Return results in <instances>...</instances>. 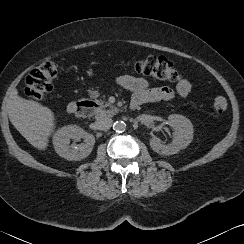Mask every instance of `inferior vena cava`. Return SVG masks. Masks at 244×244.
<instances>
[{"label": "inferior vena cava", "mask_w": 244, "mask_h": 244, "mask_svg": "<svg viewBox=\"0 0 244 244\" xmlns=\"http://www.w3.org/2000/svg\"><path fill=\"white\" fill-rule=\"evenodd\" d=\"M113 121L111 118H101L97 120L96 125L99 130L106 131L112 127Z\"/></svg>", "instance_id": "inferior-vena-cava-1"}]
</instances>
